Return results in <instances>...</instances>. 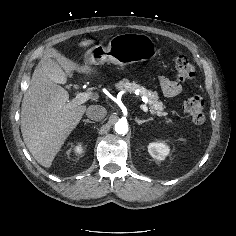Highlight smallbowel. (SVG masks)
<instances>
[{"label": "small bowel", "instance_id": "1", "mask_svg": "<svg viewBox=\"0 0 236 236\" xmlns=\"http://www.w3.org/2000/svg\"><path fill=\"white\" fill-rule=\"evenodd\" d=\"M159 84L166 97H174L181 92L180 85L165 76L159 77Z\"/></svg>", "mask_w": 236, "mask_h": 236}]
</instances>
